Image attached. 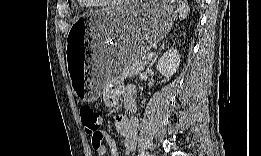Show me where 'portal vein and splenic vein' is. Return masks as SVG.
Segmentation results:
<instances>
[{"label":"portal vein and splenic vein","mask_w":261,"mask_h":156,"mask_svg":"<svg viewBox=\"0 0 261 156\" xmlns=\"http://www.w3.org/2000/svg\"><path fill=\"white\" fill-rule=\"evenodd\" d=\"M154 55H155V54H154L153 52L148 53V54L144 55V56L141 58V60H150L151 58L154 57Z\"/></svg>","instance_id":"portal-vein-and-splenic-vein-1"}]
</instances>
